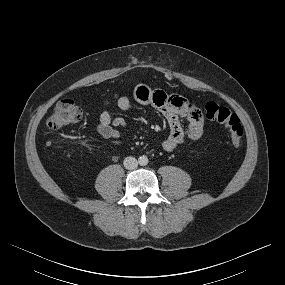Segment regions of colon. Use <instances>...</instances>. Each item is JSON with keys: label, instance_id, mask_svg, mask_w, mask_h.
Listing matches in <instances>:
<instances>
[{"label": "colon", "instance_id": "5ec220e1", "mask_svg": "<svg viewBox=\"0 0 285 285\" xmlns=\"http://www.w3.org/2000/svg\"><path fill=\"white\" fill-rule=\"evenodd\" d=\"M206 117L222 124L229 140L234 145H239L243 139L244 131L238 116L228 107L209 102L205 106ZM82 118V110L72 100L63 99L57 102L50 114L47 125L52 131L60 130L75 124Z\"/></svg>", "mask_w": 285, "mask_h": 285}]
</instances>
